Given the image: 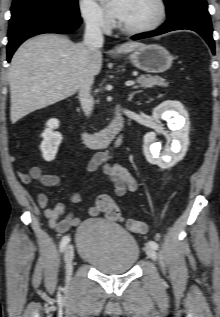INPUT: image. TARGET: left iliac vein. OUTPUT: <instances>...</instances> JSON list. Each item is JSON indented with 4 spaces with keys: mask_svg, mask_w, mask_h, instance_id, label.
I'll return each mask as SVG.
<instances>
[{
    "mask_svg": "<svg viewBox=\"0 0 220 317\" xmlns=\"http://www.w3.org/2000/svg\"><path fill=\"white\" fill-rule=\"evenodd\" d=\"M145 251H146V254L148 255V257H150L152 260L157 259V254H156L155 249L153 247H151L149 244H146Z\"/></svg>",
    "mask_w": 220,
    "mask_h": 317,
    "instance_id": "left-iliac-vein-1",
    "label": "left iliac vein"
}]
</instances>
